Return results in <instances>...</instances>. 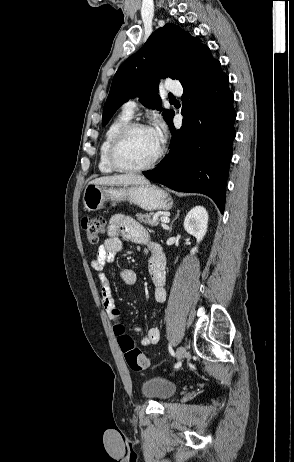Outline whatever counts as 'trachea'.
I'll return each instance as SVG.
<instances>
[{
  "label": "trachea",
  "mask_w": 294,
  "mask_h": 462,
  "mask_svg": "<svg viewBox=\"0 0 294 462\" xmlns=\"http://www.w3.org/2000/svg\"><path fill=\"white\" fill-rule=\"evenodd\" d=\"M171 100L175 99L173 96L170 98Z\"/></svg>",
  "instance_id": "3493384b"
}]
</instances>
